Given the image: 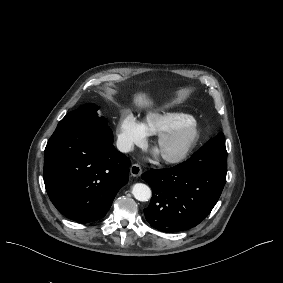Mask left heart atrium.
<instances>
[{
	"mask_svg": "<svg viewBox=\"0 0 283 283\" xmlns=\"http://www.w3.org/2000/svg\"><path fill=\"white\" fill-rule=\"evenodd\" d=\"M147 156L152 159H158L161 158V152L159 148L156 145H154L148 149Z\"/></svg>",
	"mask_w": 283,
	"mask_h": 283,
	"instance_id": "1",
	"label": "left heart atrium"
}]
</instances>
